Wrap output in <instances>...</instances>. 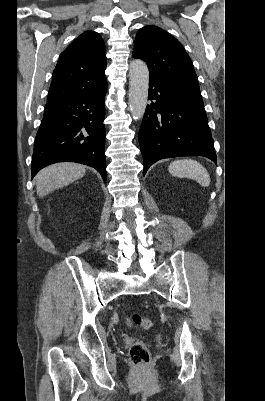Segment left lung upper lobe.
Returning <instances> with one entry per match:
<instances>
[{
    "instance_id": "obj_1",
    "label": "left lung upper lobe",
    "mask_w": 265,
    "mask_h": 401,
    "mask_svg": "<svg viewBox=\"0 0 265 401\" xmlns=\"http://www.w3.org/2000/svg\"><path fill=\"white\" fill-rule=\"evenodd\" d=\"M133 57L146 62L149 78L155 82L199 88L192 61L184 47L159 27L145 26L138 31Z\"/></svg>"
}]
</instances>
